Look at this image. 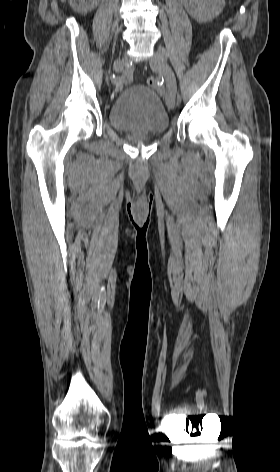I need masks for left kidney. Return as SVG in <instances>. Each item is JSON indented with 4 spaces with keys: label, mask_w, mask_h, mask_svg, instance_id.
Wrapping results in <instances>:
<instances>
[{
    "label": "left kidney",
    "mask_w": 280,
    "mask_h": 472,
    "mask_svg": "<svg viewBox=\"0 0 280 472\" xmlns=\"http://www.w3.org/2000/svg\"><path fill=\"white\" fill-rule=\"evenodd\" d=\"M187 12L199 22L211 21L219 15L224 0H182Z\"/></svg>",
    "instance_id": "1"
}]
</instances>
